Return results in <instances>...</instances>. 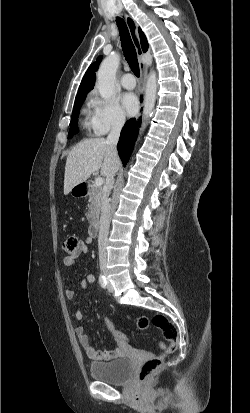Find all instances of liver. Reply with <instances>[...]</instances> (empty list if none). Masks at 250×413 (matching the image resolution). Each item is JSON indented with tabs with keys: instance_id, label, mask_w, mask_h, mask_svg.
<instances>
[{
	"instance_id": "obj_1",
	"label": "liver",
	"mask_w": 250,
	"mask_h": 413,
	"mask_svg": "<svg viewBox=\"0 0 250 413\" xmlns=\"http://www.w3.org/2000/svg\"><path fill=\"white\" fill-rule=\"evenodd\" d=\"M119 166L118 154H114L104 138H91L78 143L66 160L64 194L68 195L73 187L85 182L99 169L100 174L107 177L111 172H116Z\"/></svg>"
}]
</instances>
